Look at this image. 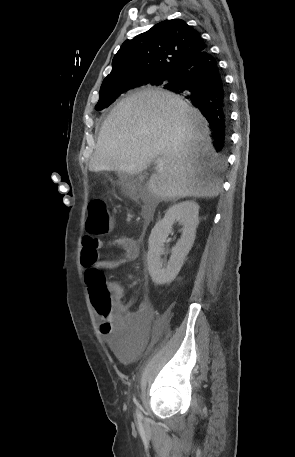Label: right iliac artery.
I'll list each match as a JSON object with an SVG mask.
<instances>
[{
  "label": "right iliac artery",
  "mask_w": 295,
  "mask_h": 457,
  "mask_svg": "<svg viewBox=\"0 0 295 457\" xmlns=\"http://www.w3.org/2000/svg\"><path fill=\"white\" fill-rule=\"evenodd\" d=\"M137 405H139V404L137 403ZM137 415H138V416H141V414H140V412H139L138 410H137Z\"/></svg>",
  "instance_id": "obj_1"
}]
</instances>
